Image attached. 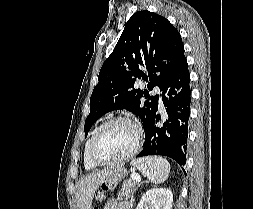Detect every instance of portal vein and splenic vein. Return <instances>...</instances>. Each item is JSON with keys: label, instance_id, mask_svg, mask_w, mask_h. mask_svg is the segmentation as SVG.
Masks as SVG:
<instances>
[{"label": "portal vein and splenic vein", "instance_id": "obj_1", "mask_svg": "<svg viewBox=\"0 0 253 209\" xmlns=\"http://www.w3.org/2000/svg\"><path fill=\"white\" fill-rule=\"evenodd\" d=\"M131 178H132V180L133 181H135V182H140V176L138 175V174H135V173H133L132 175H131Z\"/></svg>", "mask_w": 253, "mask_h": 209}]
</instances>
